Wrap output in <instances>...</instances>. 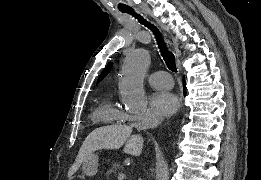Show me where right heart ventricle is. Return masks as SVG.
<instances>
[{"label":"right heart ventricle","mask_w":261,"mask_h":180,"mask_svg":"<svg viewBox=\"0 0 261 180\" xmlns=\"http://www.w3.org/2000/svg\"><path fill=\"white\" fill-rule=\"evenodd\" d=\"M92 121H107V126L93 127H121L120 111L115 105L114 98L107 97L96 104Z\"/></svg>","instance_id":"obj_1"}]
</instances>
